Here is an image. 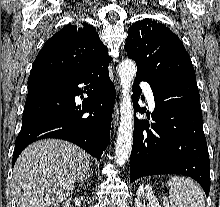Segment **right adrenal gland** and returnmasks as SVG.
I'll use <instances>...</instances> for the list:
<instances>
[{"label": "right adrenal gland", "instance_id": "obj_1", "mask_svg": "<svg viewBox=\"0 0 220 207\" xmlns=\"http://www.w3.org/2000/svg\"><path fill=\"white\" fill-rule=\"evenodd\" d=\"M91 177V172L90 170L81 178V182H87Z\"/></svg>", "mask_w": 220, "mask_h": 207}]
</instances>
